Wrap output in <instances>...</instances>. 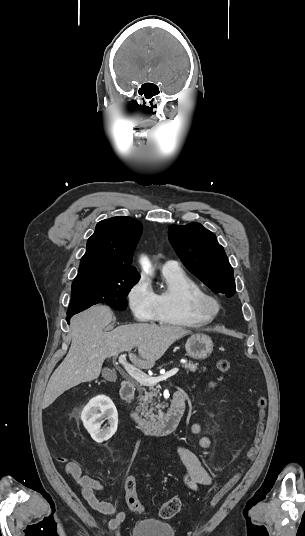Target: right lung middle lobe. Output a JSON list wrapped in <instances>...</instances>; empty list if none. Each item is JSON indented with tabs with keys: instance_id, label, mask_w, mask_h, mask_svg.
Here are the masks:
<instances>
[{
	"instance_id": "1",
	"label": "right lung middle lobe",
	"mask_w": 305,
	"mask_h": 536,
	"mask_svg": "<svg viewBox=\"0 0 305 536\" xmlns=\"http://www.w3.org/2000/svg\"><path fill=\"white\" fill-rule=\"evenodd\" d=\"M140 276L76 277L72 283V298L68 313H79L90 306L105 303L117 310L127 308L126 296Z\"/></svg>"
}]
</instances>
